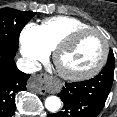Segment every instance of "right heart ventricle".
Returning a JSON list of instances; mask_svg holds the SVG:
<instances>
[{
  "mask_svg": "<svg viewBox=\"0 0 117 117\" xmlns=\"http://www.w3.org/2000/svg\"><path fill=\"white\" fill-rule=\"evenodd\" d=\"M86 27L91 26L69 16L48 18L38 26L41 40L49 51L54 50L59 42L73 30Z\"/></svg>",
  "mask_w": 117,
  "mask_h": 117,
  "instance_id": "obj_1",
  "label": "right heart ventricle"
}]
</instances>
